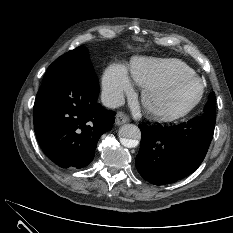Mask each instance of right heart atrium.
Returning a JSON list of instances; mask_svg holds the SVG:
<instances>
[{
  "mask_svg": "<svg viewBox=\"0 0 233 233\" xmlns=\"http://www.w3.org/2000/svg\"><path fill=\"white\" fill-rule=\"evenodd\" d=\"M102 95L111 106L122 102L125 95L132 93L133 86L125 67L112 64L103 73L101 80Z\"/></svg>",
  "mask_w": 233,
  "mask_h": 233,
  "instance_id": "right-heart-atrium-1",
  "label": "right heart atrium"
}]
</instances>
